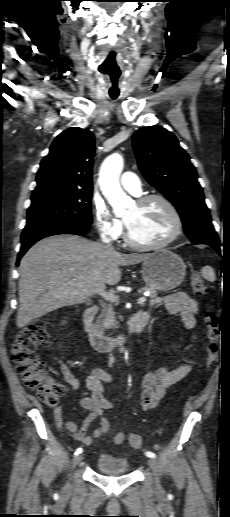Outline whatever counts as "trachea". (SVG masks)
Segmentation results:
<instances>
[{"label":"trachea","instance_id":"trachea-1","mask_svg":"<svg viewBox=\"0 0 230 517\" xmlns=\"http://www.w3.org/2000/svg\"><path fill=\"white\" fill-rule=\"evenodd\" d=\"M110 97H111L112 99H116V98H117V96H116V95H110Z\"/></svg>","mask_w":230,"mask_h":517}]
</instances>
